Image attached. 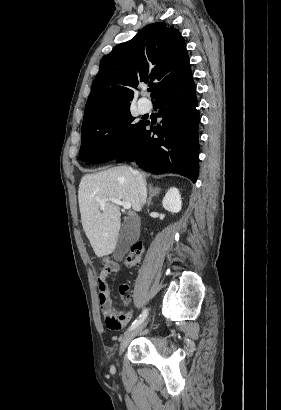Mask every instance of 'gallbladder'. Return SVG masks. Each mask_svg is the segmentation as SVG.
Masks as SVG:
<instances>
[{
	"mask_svg": "<svg viewBox=\"0 0 281 410\" xmlns=\"http://www.w3.org/2000/svg\"><path fill=\"white\" fill-rule=\"evenodd\" d=\"M136 238L137 231L134 225V218L128 217L122 225L117 239L115 255L118 260L123 259Z\"/></svg>",
	"mask_w": 281,
	"mask_h": 410,
	"instance_id": "1",
	"label": "gallbladder"
}]
</instances>
